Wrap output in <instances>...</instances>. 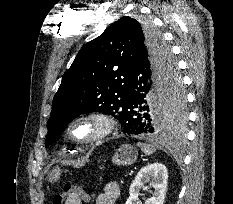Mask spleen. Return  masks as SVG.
<instances>
[{
  "label": "spleen",
  "mask_w": 233,
  "mask_h": 204,
  "mask_svg": "<svg viewBox=\"0 0 233 204\" xmlns=\"http://www.w3.org/2000/svg\"><path fill=\"white\" fill-rule=\"evenodd\" d=\"M137 145L141 148V150L146 155H151L153 152L156 151V147L154 145H150V144H147V143H137Z\"/></svg>",
  "instance_id": "spleen-1"
}]
</instances>
